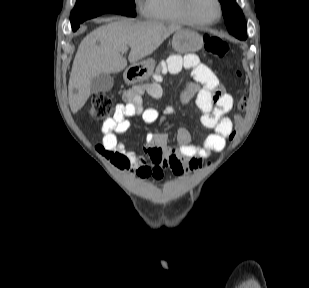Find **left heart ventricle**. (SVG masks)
Instances as JSON below:
<instances>
[{
  "instance_id": "obj_1",
  "label": "left heart ventricle",
  "mask_w": 309,
  "mask_h": 288,
  "mask_svg": "<svg viewBox=\"0 0 309 288\" xmlns=\"http://www.w3.org/2000/svg\"><path fill=\"white\" fill-rule=\"evenodd\" d=\"M194 15L201 21H214L217 19L219 10L215 0H192Z\"/></svg>"
}]
</instances>
